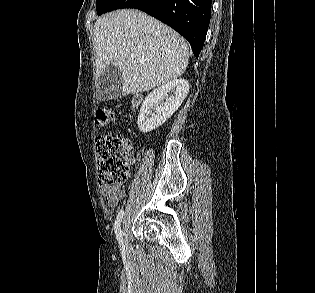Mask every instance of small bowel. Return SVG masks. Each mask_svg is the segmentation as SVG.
<instances>
[{"mask_svg":"<svg viewBox=\"0 0 315 293\" xmlns=\"http://www.w3.org/2000/svg\"><path fill=\"white\" fill-rule=\"evenodd\" d=\"M100 192L106 203L110 206H116L118 202L126 196V191L120 185H107L101 183Z\"/></svg>","mask_w":315,"mask_h":293,"instance_id":"1","label":"small bowel"}]
</instances>
